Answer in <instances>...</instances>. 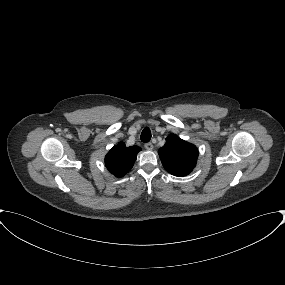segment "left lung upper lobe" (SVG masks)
Segmentation results:
<instances>
[{"instance_id":"left-lung-upper-lobe-1","label":"left lung upper lobe","mask_w":285,"mask_h":285,"mask_svg":"<svg viewBox=\"0 0 285 285\" xmlns=\"http://www.w3.org/2000/svg\"><path fill=\"white\" fill-rule=\"evenodd\" d=\"M164 168L174 176H186L192 172L197 163L198 149L195 145L171 134L165 145L158 151Z\"/></svg>"}]
</instances>
